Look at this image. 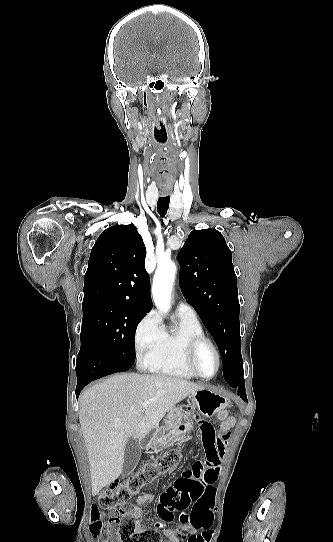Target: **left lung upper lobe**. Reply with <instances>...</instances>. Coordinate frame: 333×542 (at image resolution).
<instances>
[{
  "mask_svg": "<svg viewBox=\"0 0 333 542\" xmlns=\"http://www.w3.org/2000/svg\"><path fill=\"white\" fill-rule=\"evenodd\" d=\"M177 260L182 293L218 346L224 379L243 374L237 277L223 235L192 231Z\"/></svg>",
  "mask_w": 333,
  "mask_h": 542,
  "instance_id": "1",
  "label": "left lung upper lobe"
}]
</instances>
